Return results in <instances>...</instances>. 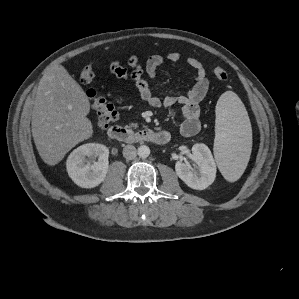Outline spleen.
<instances>
[{"label": "spleen", "instance_id": "1", "mask_svg": "<svg viewBox=\"0 0 299 299\" xmlns=\"http://www.w3.org/2000/svg\"><path fill=\"white\" fill-rule=\"evenodd\" d=\"M214 156L229 182L244 173L252 147V130L246 108L232 91L223 93L216 105Z\"/></svg>", "mask_w": 299, "mask_h": 299}]
</instances>
